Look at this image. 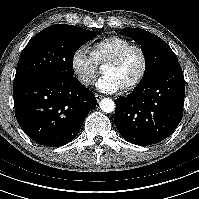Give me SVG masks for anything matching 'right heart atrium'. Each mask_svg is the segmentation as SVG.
<instances>
[{
    "instance_id": "1",
    "label": "right heart atrium",
    "mask_w": 199,
    "mask_h": 199,
    "mask_svg": "<svg viewBox=\"0 0 199 199\" xmlns=\"http://www.w3.org/2000/svg\"><path fill=\"white\" fill-rule=\"evenodd\" d=\"M72 72L83 86L93 84L98 75V66L92 55L84 48H77L71 57Z\"/></svg>"
}]
</instances>
